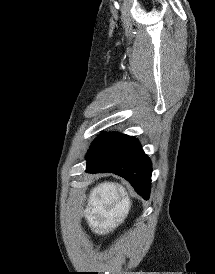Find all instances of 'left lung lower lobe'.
Returning a JSON list of instances; mask_svg holds the SVG:
<instances>
[{
  "instance_id": "1",
  "label": "left lung lower lobe",
  "mask_w": 215,
  "mask_h": 274,
  "mask_svg": "<svg viewBox=\"0 0 215 274\" xmlns=\"http://www.w3.org/2000/svg\"><path fill=\"white\" fill-rule=\"evenodd\" d=\"M86 159V172L115 173L128 180L144 199L149 198L152 165L134 137L112 133Z\"/></svg>"
}]
</instances>
